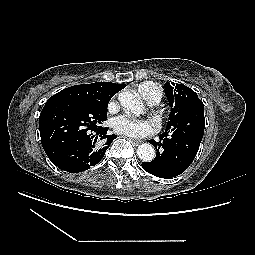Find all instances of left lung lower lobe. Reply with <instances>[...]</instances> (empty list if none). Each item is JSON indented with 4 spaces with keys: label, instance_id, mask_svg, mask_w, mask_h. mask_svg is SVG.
I'll use <instances>...</instances> for the list:
<instances>
[{
    "label": "left lung lower lobe",
    "instance_id": "0a47b994",
    "mask_svg": "<svg viewBox=\"0 0 255 255\" xmlns=\"http://www.w3.org/2000/svg\"><path fill=\"white\" fill-rule=\"evenodd\" d=\"M204 110L190 124L166 127L165 132L149 142L157 149L156 158L143 162L148 173L160 178H172L183 173L193 162L204 134Z\"/></svg>",
    "mask_w": 255,
    "mask_h": 255
}]
</instances>
